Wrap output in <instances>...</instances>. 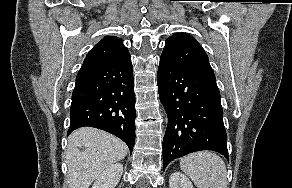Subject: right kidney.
<instances>
[{
    "label": "right kidney",
    "mask_w": 292,
    "mask_h": 188,
    "mask_svg": "<svg viewBox=\"0 0 292 188\" xmlns=\"http://www.w3.org/2000/svg\"><path fill=\"white\" fill-rule=\"evenodd\" d=\"M123 172L121 163H114L107 167L96 179L92 188H115Z\"/></svg>",
    "instance_id": "ca27d5eb"
}]
</instances>
